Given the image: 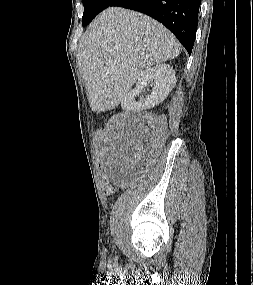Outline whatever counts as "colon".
I'll list each match as a JSON object with an SVG mask.
<instances>
[{
  "label": "colon",
  "mask_w": 253,
  "mask_h": 285,
  "mask_svg": "<svg viewBox=\"0 0 253 285\" xmlns=\"http://www.w3.org/2000/svg\"><path fill=\"white\" fill-rule=\"evenodd\" d=\"M95 140L94 145H97L96 150L92 154L95 158L96 167H94V172H100L99 180H103V187L105 191L110 194L112 192L111 182L114 176L110 175L109 171H106L108 159L105 158L108 150V144L105 143L104 132L102 129H95Z\"/></svg>",
  "instance_id": "colon-1"
}]
</instances>
